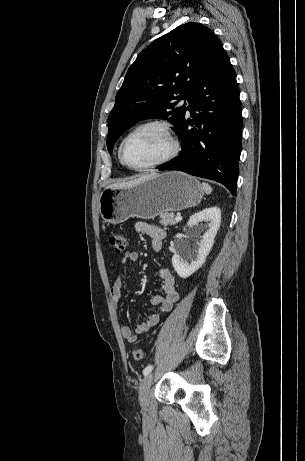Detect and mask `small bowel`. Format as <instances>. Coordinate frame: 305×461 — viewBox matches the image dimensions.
<instances>
[{
	"mask_svg": "<svg viewBox=\"0 0 305 461\" xmlns=\"http://www.w3.org/2000/svg\"><path fill=\"white\" fill-rule=\"evenodd\" d=\"M135 230L150 236L152 250L156 253L161 252L163 241L166 238L164 229L140 221L135 224ZM138 258L139 254L136 251H128L117 265L118 277L110 292L111 299L116 307L122 295L123 275L126 270V265L129 261H136ZM158 276L162 281V294H156L150 297V303L157 306L158 310L150 315L146 321L137 324L134 331L128 325H123L121 327V334L128 343H135L141 335L145 334L151 327L157 325L159 321L172 310L174 304L179 300L180 295L175 287V279L169 269L165 267L159 268Z\"/></svg>",
	"mask_w": 305,
	"mask_h": 461,
	"instance_id": "c3829d8e",
	"label": "small bowel"
}]
</instances>
